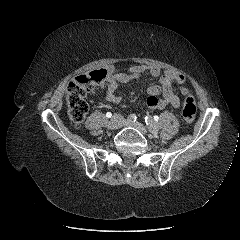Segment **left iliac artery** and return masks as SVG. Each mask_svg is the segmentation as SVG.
<instances>
[{
	"label": "left iliac artery",
	"instance_id": "44dca946",
	"mask_svg": "<svg viewBox=\"0 0 240 240\" xmlns=\"http://www.w3.org/2000/svg\"><path fill=\"white\" fill-rule=\"evenodd\" d=\"M155 122L157 121H154L150 116H145V123L153 134L158 133Z\"/></svg>",
	"mask_w": 240,
	"mask_h": 240
}]
</instances>
